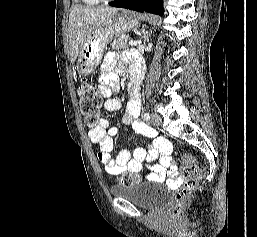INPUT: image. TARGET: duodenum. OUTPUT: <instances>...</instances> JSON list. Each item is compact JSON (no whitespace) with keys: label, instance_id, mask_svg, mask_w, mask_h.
<instances>
[{"label":"duodenum","instance_id":"410a0bca","mask_svg":"<svg viewBox=\"0 0 257 237\" xmlns=\"http://www.w3.org/2000/svg\"><path fill=\"white\" fill-rule=\"evenodd\" d=\"M140 73L137 69H135L131 75V80L129 83V92L133 96L134 95V88L137 85L138 81L140 80Z\"/></svg>","mask_w":257,"mask_h":237}]
</instances>
